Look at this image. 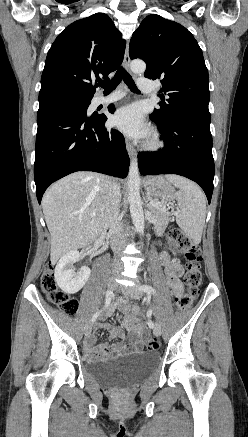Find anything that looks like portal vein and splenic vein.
Segmentation results:
<instances>
[{
  "instance_id": "18ae733b",
  "label": "portal vein and splenic vein",
  "mask_w": 248,
  "mask_h": 437,
  "mask_svg": "<svg viewBox=\"0 0 248 437\" xmlns=\"http://www.w3.org/2000/svg\"><path fill=\"white\" fill-rule=\"evenodd\" d=\"M151 205H153V206H161L162 204H161V203H158V202H154V203H152ZM91 216L94 217L95 214H91Z\"/></svg>"
}]
</instances>
